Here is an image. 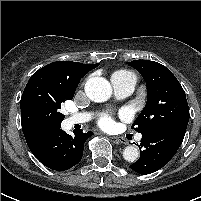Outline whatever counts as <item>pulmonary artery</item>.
Returning a JSON list of instances; mask_svg holds the SVG:
<instances>
[{"label":"pulmonary artery","instance_id":"e3ab8cb5","mask_svg":"<svg viewBox=\"0 0 201 201\" xmlns=\"http://www.w3.org/2000/svg\"><path fill=\"white\" fill-rule=\"evenodd\" d=\"M136 76L131 74L125 77H114L111 78V82L113 85V89L115 92V95L118 98H125L130 96L136 86ZM91 115L90 113L84 112V113H77L72 114L67 118V123L69 125L79 124L87 122L90 119ZM141 135H137V139H141Z\"/></svg>","mask_w":201,"mask_h":201}]
</instances>
